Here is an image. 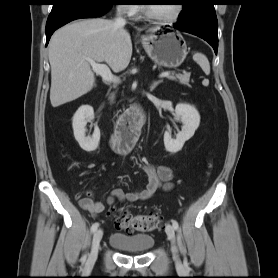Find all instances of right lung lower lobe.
<instances>
[{
    "label": "right lung lower lobe",
    "mask_w": 278,
    "mask_h": 278,
    "mask_svg": "<svg viewBox=\"0 0 278 278\" xmlns=\"http://www.w3.org/2000/svg\"><path fill=\"white\" fill-rule=\"evenodd\" d=\"M111 6H97L93 4L67 1L52 8L46 23V46L53 32L66 23L81 19L94 18L106 14Z\"/></svg>",
    "instance_id": "right-lung-lower-lobe-1"
}]
</instances>
